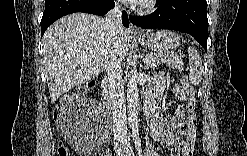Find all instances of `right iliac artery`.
Returning <instances> with one entry per match:
<instances>
[{
	"mask_svg": "<svg viewBox=\"0 0 247 156\" xmlns=\"http://www.w3.org/2000/svg\"><path fill=\"white\" fill-rule=\"evenodd\" d=\"M118 155H119V156H120V155L122 156V155H123V152H122V151H121V152H119V153H118Z\"/></svg>",
	"mask_w": 247,
	"mask_h": 156,
	"instance_id": "1",
	"label": "right iliac artery"
}]
</instances>
